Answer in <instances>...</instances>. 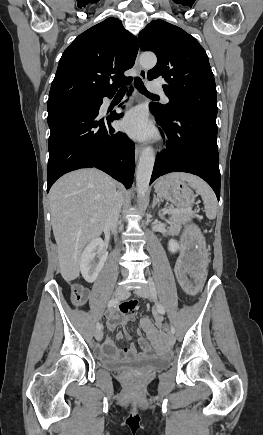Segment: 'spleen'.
Returning a JSON list of instances; mask_svg holds the SVG:
<instances>
[{
    "mask_svg": "<svg viewBox=\"0 0 263 435\" xmlns=\"http://www.w3.org/2000/svg\"><path fill=\"white\" fill-rule=\"evenodd\" d=\"M167 178L177 181L188 182L189 185L201 195L204 202L206 216L209 219H214L217 212V200L210 187L199 177L182 172L169 174Z\"/></svg>",
    "mask_w": 263,
    "mask_h": 435,
    "instance_id": "3e777b00",
    "label": "spleen"
}]
</instances>
